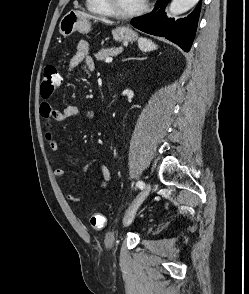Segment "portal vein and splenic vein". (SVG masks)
I'll return each instance as SVG.
<instances>
[{"label": "portal vein and splenic vein", "mask_w": 249, "mask_h": 294, "mask_svg": "<svg viewBox=\"0 0 249 294\" xmlns=\"http://www.w3.org/2000/svg\"><path fill=\"white\" fill-rule=\"evenodd\" d=\"M112 61H113V58H110V57L105 60L106 63H111Z\"/></svg>", "instance_id": "portal-vein-and-splenic-vein-1"}]
</instances>
